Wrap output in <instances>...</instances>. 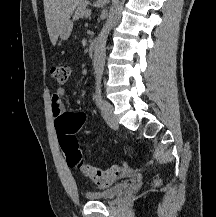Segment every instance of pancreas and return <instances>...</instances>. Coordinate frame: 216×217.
Wrapping results in <instances>:
<instances>
[{
    "label": "pancreas",
    "mask_w": 216,
    "mask_h": 217,
    "mask_svg": "<svg viewBox=\"0 0 216 217\" xmlns=\"http://www.w3.org/2000/svg\"><path fill=\"white\" fill-rule=\"evenodd\" d=\"M88 3L87 1H83L78 7L77 10L75 11V14L73 16L74 20H77L79 18H82L86 14V7Z\"/></svg>",
    "instance_id": "1"
}]
</instances>
